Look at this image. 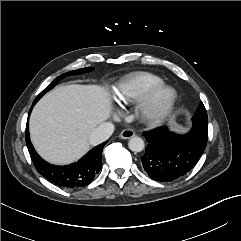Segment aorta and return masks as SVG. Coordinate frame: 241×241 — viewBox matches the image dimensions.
Returning <instances> with one entry per match:
<instances>
[{
    "label": "aorta",
    "instance_id": "1",
    "mask_svg": "<svg viewBox=\"0 0 241 241\" xmlns=\"http://www.w3.org/2000/svg\"><path fill=\"white\" fill-rule=\"evenodd\" d=\"M144 141L138 136L132 137L128 142V147L133 152H141L144 149Z\"/></svg>",
    "mask_w": 241,
    "mask_h": 241
}]
</instances>
